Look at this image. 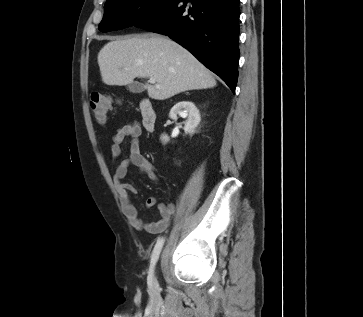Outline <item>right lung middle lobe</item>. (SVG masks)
I'll return each instance as SVG.
<instances>
[{"mask_svg":"<svg viewBox=\"0 0 363 317\" xmlns=\"http://www.w3.org/2000/svg\"><path fill=\"white\" fill-rule=\"evenodd\" d=\"M176 0H107L101 32L136 26L169 9Z\"/></svg>","mask_w":363,"mask_h":317,"instance_id":"dd1d6c3e","label":"right lung middle lobe"}]
</instances>
